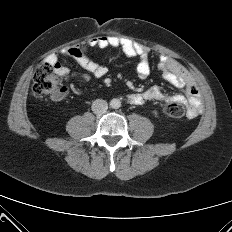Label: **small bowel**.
Returning a JSON list of instances; mask_svg holds the SVG:
<instances>
[{
  "label": "small bowel",
  "instance_id": "small-bowel-1",
  "mask_svg": "<svg viewBox=\"0 0 232 232\" xmlns=\"http://www.w3.org/2000/svg\"><path fill=\"white\" fill-rule=\"evenodd\" d=\"M91 46H97L101 49L114 48L120 49L128 56L137 58L136 73L140 78H147L151 73V53L148 47L136 43L132 40L113 35H102L89 39ZM63 55L70 56L68 51ZM77 64L84 70L83 73H77L70 67L60 63L56 55L49 56L48 60L53 63L55 72L69 83L68 86H62L58 95L52 96L55 101L64 99L70 92L80 94L81 89L73 82L75 76H80L85 80L102 79L107 75L108 69L93 61L87 56L79 55L74 57ZM157 69L162 73L163 78L172 86L182 88L185 91V97L180 95H171L164 92L159 86H151L142 92L131 93L127 96V101L132 105H140L146 101H173L184 104L187 103L188 116L197 117L202 110L200 91L195 83L193 75L176 59L160 54L156 62Z\"/></svg>",
  "mask_w": 232,
  "mask_h": 232
}]
</instances>
